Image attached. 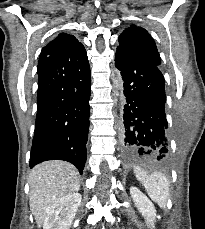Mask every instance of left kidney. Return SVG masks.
<instances>
[{
	"instance_id": "left-kidney-1",
	"label": "left kidney",
	"mask_w": 205,
	"mask_h": 229,
	"mask_svg": "<svg viewBox=\"0 0 205 229\" xmlns=\"http://www.w3.org/2000/svg\"><path fill=\"white\" fill-rule=\"evenodd\" d=\"M130 194L139 212L145 217L146 223L153 226L156 210L152 202L136 187L130 188Z\"/></svg>"
}]
</instances>
